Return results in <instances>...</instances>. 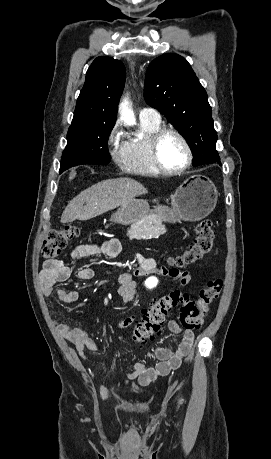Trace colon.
<instances>
[{"instance_id":"obj_1","label":"colon","mask_w":271,"mask_h":459,"mask_svg":"<svg viewBox=\"0 0 271 459\" xmlns=\"http://www.w3.org/2000/svg\"><path fill=\"white\" fill-rule=\"evenodd\" d=\"M196 237L193 243L179 254L170 257L168 264L172 268H182L192 265L211 252L216 232L212 222L203 219L195 225ZM78 236V229L74 226L53 230L44 241L41 251L42 258L52 260L66 248L68 243ZM222 281L214 279L208 282L199 293L198 301L192 300L188 294L179 290L157 299L150 307L143 311L141 319L133 330V339L142 343L157 334L172 309L180 307V322L184 328L198 329L203 324L208 307L221 293Z\"/></svg>"}]
</instances>
